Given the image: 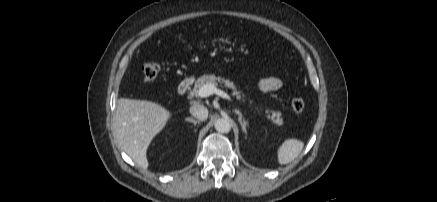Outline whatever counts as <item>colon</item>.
Wrapping results in <instances>:
<instances>
[{
  "label": "colon",
  "instance_id": "1",
  "mask_svg": "<svg viewBox=\"0 0 437 202\" xmlns=\"http://www.w3.org/2000/svg\"><path fill=\"white\" fill-rule=\"evenodd\" d=\"M219 40H225L224 37L219 38ZM141 71L144 81L152 82L154 81L160 72V66L154 61H146L141 65ZM291 106L294 111L302 112L306 106L305 100L301 97H295L291 101Z\"/></svg>",
  "mask_w": 437,
  "mask_h": 202
}]
</instances>
